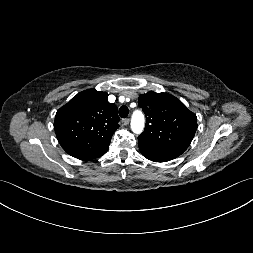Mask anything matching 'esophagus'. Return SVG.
<instances>
[{
	"instance_id": "1",
	"label": "esophagus",
	"mask_w": 253,
	"mask_h": 253,
	"mask_svg": "<svg viewBox=\"0 0 253 253\" xmlns=\"http://www.w3.org/2000/svg\"><path fill=\"white\" fill-rule=\"evenodd\" d=\"M129 122H130L129 118H126V119L122 120V124L125 125V126H127L129 124Z\"/></svg>"
}]
</instances>
